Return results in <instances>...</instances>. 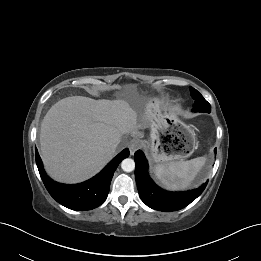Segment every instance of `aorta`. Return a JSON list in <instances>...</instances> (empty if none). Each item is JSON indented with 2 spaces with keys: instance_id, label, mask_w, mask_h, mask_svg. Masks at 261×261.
<instances>
[{
  "instance_id": "1",
  "label": "aorta",
  "mask_w": 261,
  "mask_h": 261,
  "mask_svg": "<svg viewBox=\"0 0 261 261\" xmlns=\"http://www.w3.org/2000/svg\"><path fill=\"white\" fill-rule=\"evenodd\" d=\"M121 168L125 172H131L135 169V162L131 158H126L121 162Z\"/></svg>"
}]
</instances>
